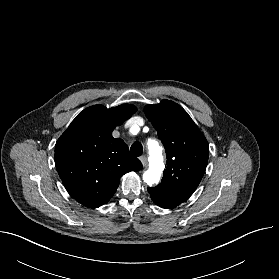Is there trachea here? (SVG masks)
Segmentation results:
<instances>
[{"label": "trachea", "mask_w": 279, "mask_h": 279, "mask_svg": "<svg viewBox=\"0 0 279 279\" xmlns=\"http://www.w3.org/2000/svg\"><path fill=\"white\" fill-rule=\"evenodd\" d=\"M130 152L134 155V156H141L142 152H143V147L142 144L139 142H135L134 144H132L131 148H130Z\"/></svg>", "instance_id": "obj_1"}]
</instances>
